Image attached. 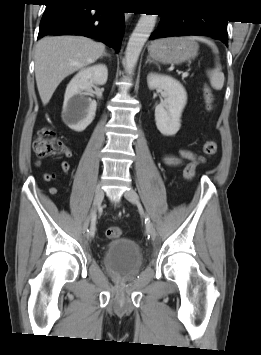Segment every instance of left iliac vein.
<instances>
[{
  "label": "left iliac vein",
  "mask_w": 261,
  "mask_h": 355,
  "mask_svg": "<svg viewBox=\"0 0 261 355\" xmlns=\"http://www.w3.org/2000/svg\"><path fill=\"white\" fill-rule=\"evenodd\" d=\"M124 197L131 203L139 206V198H138V195L137 193L133 190V189H130L128 191H126L124 193ZM150 232H151V236L152 238L154 239L156 237V231H155V228L153 227V225L151 224L150 226Z\"/></svg>",
  "instance_id": "left-iliac-vein-1"
}]
</instances>
